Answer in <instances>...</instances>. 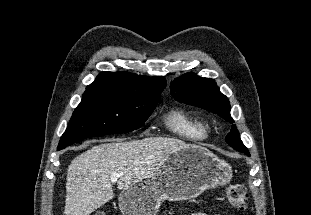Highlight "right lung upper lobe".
Listing matches in <instances>:
<instances>
[{
	"mask_svg": "<svg viewBox=\"0 0 311 215\" xmlns=\"http://www.w3.org/2000/svg\"><path fill=\"white\" fill-rule=\"evenodd\" d=\"M164 77H146L127 72H102L84 93H107L134 98H160Z\"/></svg>",
	"mask_w": 311,
	"mask_h": 215,
	"instance_id": "cb5924a9",
	"label": "right lung upper lobe"
}]
</instances>
